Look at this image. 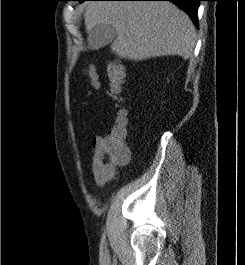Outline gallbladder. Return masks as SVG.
I'll return each instance as SVG.
<instances>
[{
    "mask_svg": "<svg viewBox=\"0 0 245 265\" xmlns=\"http://www.w3.org/2000/svg\"><path fill=\"white\" fill-rule=\"evenodd\" d=\"M116 31L113 26L108 24H97L88 32V44L92 49H98L109 45Z\"/></svg>",
    "mask_w": 245,
    "mask_h": 265,
    "instance_id": "gallbladder-1",
    "label": "gallbladder"
}]
</instances>
